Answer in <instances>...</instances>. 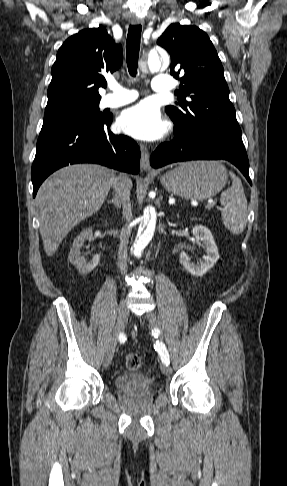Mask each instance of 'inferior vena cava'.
Returning <instances> with one entry per match:
<instances>
[{
	"mask_svg": "<svg viewBox=\"0 0 287 486\" xmlns=\"http://www.w3.org/2000/svg\"><path fill=\"white\" fill-rule=\"evenodd\" d=\"M112 187L121 198L123 205V217L129 222L132 219V210L130 203V189L125 185L121 176L115 177L112 183ZM130 229L127 227L120 233V245L118 251V268L121 273H125L127 270V245L130 236Z\"/></svg>",
	"mask_w": 287,
	"mask_h": 486,
	"instance_id": "obj_1",
	"label": "inferior vena cava"
}]
</instances>
